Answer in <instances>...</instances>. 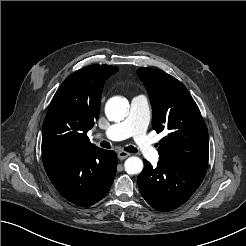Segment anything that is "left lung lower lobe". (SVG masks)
<instances>
[{
  "label": "left lung lower lobe",
  "instance_id": "left-lung-lower-lobe-1",
  "mask_svg": "<svg viewBox=\"0 0 246 246\" xmlns=\"http://www.w3.org/2000/svg\"><path fill=\"white\" fill-rule=\"evenodd\" d=\"M207 165L160 159L156 168L144 160L137 181L141 195L154 209L167 212L185 203L201 184Z\"/></svg>",
  "mask_w": 246,
  "mask_h": 246
}]
</instances>
